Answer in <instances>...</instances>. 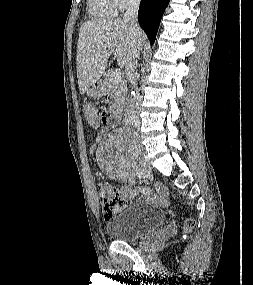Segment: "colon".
I'll use <instances>...</instances> for the list:
<instances>
[{
  "instance_id": "colon-1",
  "label": "colon",
  "mask_w": 253,
  "mask_h": 285,
  "mask_svg": "<svg viewBox=\"0 0 253 285\" xmlns=\"http://www.w3.org/2000/svg\"><path fill=\"white\" fill-rule=\"evenodd\" d=\"M87 122L94 128L100 125L99 113L91 106H87L84 111ZM99 198L103 205V212L106 219L111 218L116 209L128 205L131 201L129 197L124 195L120 190L114 187L102 186L99 188ZM195 225L192 218L185 220L184 227L191 230Z\"/></svg>"
}]
</instances>
